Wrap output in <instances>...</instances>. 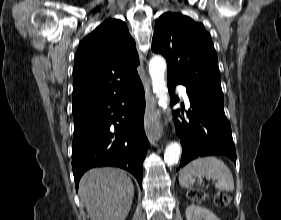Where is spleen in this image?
I'll list each match as a JSON object with an SVG mask.
<instances>
[{
    "instance_id": "3e777b00",
    "label": "spleen",
    "mask_w": 281,
    "mask_h": 220,
    "mask_svg": "<svg viewBox=\"0 0 281 220\" xmlns=\"http://www.w3.org/2000/svg\"><path fill=\"white\" fill-rule=\"evenodd\" d=\"M193 177H206L208 180H215V187L219 190L228 192L234 190V180L229 167L213 156L195 159L183 167L179 175L180 185L190 188Z\"/></svg>"
}]
</instances>
